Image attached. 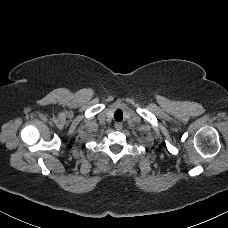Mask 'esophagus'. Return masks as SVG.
<instances>
[{"label": "esophagus", "mask_w": 228, "mask_h": 228, "mask_svg": "<svg viewBox=\"0 0 228 228\" xmlns=\"http://www.w3.org/2000/svg\"><path fill=\"white\" fill-rule=\"evenodd\" d=\"M122 127H123L122 123H120V122L115 123V129L116 130H121Z\"/></svg>", "instance_id": "34e87169"}]
</instances>
